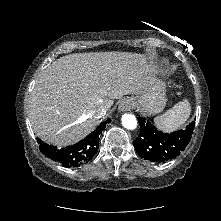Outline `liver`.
<instances>
[{"instance_id":"obj_1","label":"liver","mask_w":221,"mask_h":221,"mask_svg":"<svg viewBox=\"0 0 221 221\" xmlns=\"http://www.w3.org/2000/svg\"><path fill=\"white\" fill-rule=\"evenodd\" d=\"M153 66L142 54L76 53L54 61L36 81L29 118L36 136L58 147L78 142L99 123L94 112L113 100L145 92Z\"/></svg>"}]
</instances>
